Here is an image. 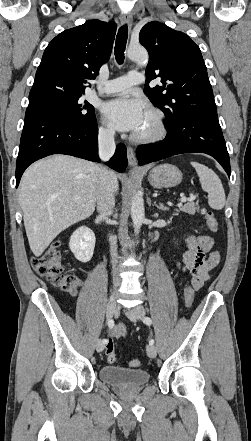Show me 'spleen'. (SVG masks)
Returning <instances> with one entry per match:
<instances>
[{
	"instance_id": "obj_1",
	"label": "spleen",
	"mask_w": 251,
	"mask_h": 441,
	"mask_svg": "<svg viewBox=\"0 0 251 441\" xmlns=\"http://www.w3.org/2000/svg\"><path fill=\"white\" fill-rule=\"evenodd\" d=\"M195 168L202 189L208 193V204L215 210H221L225 206L226 198L223 185L217 174L207 166L198 162H191Z\"/></svg>"
}]
</instances>
